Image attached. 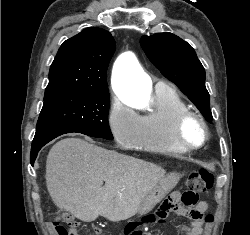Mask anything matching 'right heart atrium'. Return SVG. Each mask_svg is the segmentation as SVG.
Instances as JSON below:
<instances>
[{
  "label": "right heart atrium",
  "instance_id": "1",
  "mask_svg": "<svg viewBox=\"0 0 250 235\" xmlns=\"http://www.w3.org/2000/svg\"><path fill=\"white\" fill-rule=\"evenodd\" d=\"M108 125L116 142L124 147H133L140 136V116L119 99L111 100Z\"/></svg>",
  "mask_w": 250,
  "mask_h": 235
}]
</instances>
